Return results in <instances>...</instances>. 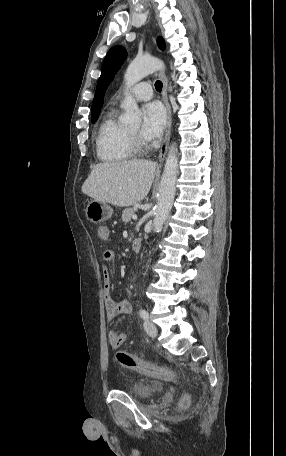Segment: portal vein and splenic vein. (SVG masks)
I'll return each instance as SVG.
<instances>
[{
  "label": "portal vein and splenic vein",
  "instance_id": "portal-vein-and-splenic-vein-1",
  "mask_svg": "<svg viewBox=\"0 0 286 456\" xmlns=\"http://www.w3.org/2000/svg\"><path fill=\"white\" fill-rule=\"evenodd\" d=\"M132 219H133V220H137V216H136V215H133V216H132Z\"/></svg>",
  "mask_w": 286,
  "mask_h": 456
}]
</instances>
